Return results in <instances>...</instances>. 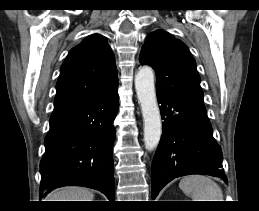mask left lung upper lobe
<instances>
[{
	"label": "left lung upper lobe",
	"mask_w": 259,
	"mask_h": 211,
	"mask_svg": "<svg viewBox=\"0 0 259 211\" xmlns=\"http://www.w3.org/2000/svg\"><path fill=\"white\" fill-rule=\"evenodd\" d=\"M141 64L156 72V91L203 102L200 76L188 47L164 30L150 33L142 48Z\"/></svg>",
	"instance_id": "obj_1"
}]
</instances>
